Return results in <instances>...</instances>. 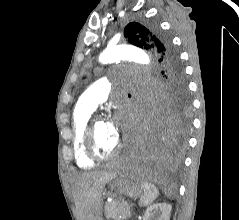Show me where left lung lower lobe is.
Instances as JSON below:
<instances>
[{"label": "left lung lower lobe", "instance_id": "left-lung-lower-lobe-1", "mask_svg": "<svg viewBox=\"0 0 239 220\" xmlns=\"http://www.w3.org/2000/svg\"><path fill=\"white\" fill-rule=\"evenodd\" d=\"M185 141V130H179L161 106L133 165L142 173L161 174L180 163Z\"/></svg>", "mask_w": 239, "mask_h": 220}]
</instances>
